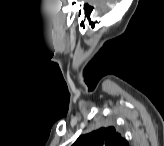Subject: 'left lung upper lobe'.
<instances>
[{"label": "left lung upper lobe", "instance_id": "left-lung-upper-lobe-1", "mask_svg": "<svg viewBox=\"0 0 164 146\" xmlns=\"http://www.w3.org/2000/svg\"><path fill=\"white\" fill-rule=\"evenodd\" d=\"M73 146H128V143L114 127H102L81 135Z\"/></svg>", "mask_w": 164, "mask_h": 146}]
</instances>
